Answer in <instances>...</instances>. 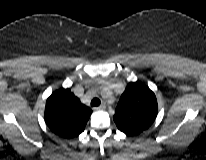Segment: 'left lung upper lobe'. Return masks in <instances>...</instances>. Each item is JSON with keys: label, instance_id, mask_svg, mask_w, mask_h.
Masks as SVG:
<instances>
[{"label": "left lung upper lobe", "instance_id": "obj_1", "mask_svg": "<svg viewBox=\"0 0 206 160\" xmlns=\"http://www.w3.org/2000/svg\"><path fill=\"white\" fill-rule=\"evenodd\" d=\"M158 104L155 94L140 82H130L122 94L113 117L118 129L136 136L156 119Z\"/></svg>", "mask_w": 206, "mask_h": 160}]
</instances>
